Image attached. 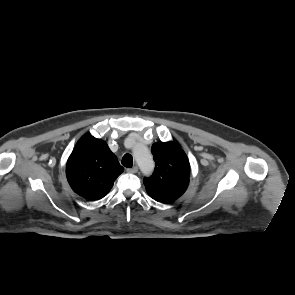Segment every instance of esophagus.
Returning a JSON list of instances; mask_svg holds the SVG:
<instances>
[{
	"mask_svg": "<svg viewBox=\"0 0 295 295\" xmlns=\"http://www.w3.org/2000/svg\"><path fill=\"white\" fill-rule=\"evenodd\" d=\"M137 171H138V167L137 166H134L132 168H128L127 169V172L128 173H137Z\"/></svg>",
	"mask_w": 295,
	"mask_h": 295,
	"instance_id": "34e87169",
	"label": "esophagus"
}]
</instances>
